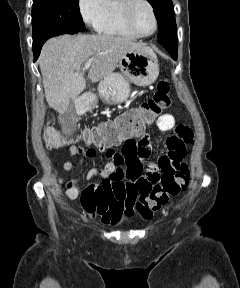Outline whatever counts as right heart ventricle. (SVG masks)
<instances>
[{
    "label": "right heart ventricle",
    "mask_w": 240,
    "mask_h": 288,
    "mask_svg": "<svg viewBox=\"0 0 240 288\" xmlns=\"http://www.w3.org/2000/svg\"><path fill=\"white\" fill-rule=\"evenodd\" d=\"M124 0H106L105 11L96 29L108 35L138 38L125 25L123 18Z\"/></svg>",
    "instance_id": "1"
}]
</instances>
